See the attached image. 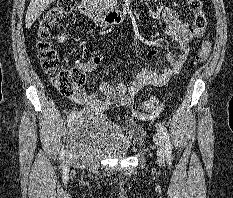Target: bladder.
Returning <instances> with one entry per match:
<instances>
[{
  "instance_id": "obj_1",
  "label": "bladder",
  "mask_w": 233,
  "mask_h": 198,
  "mask_svg": "<svg viewBox=\"0 0 233 198\" xmlns=\"http://www.w3.org/2000/svg\"><path fill=\"white\" fill-rule=\"evenodd\" d=\"M71 132L77 148H87L116 157L134 151L144 140V130L137 123L118 124L96 110L77 113Z\"/></svg>"
}]
</instances>
